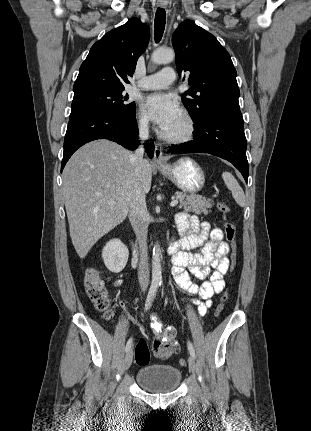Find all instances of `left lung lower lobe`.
Listing matches in <instances>:
<instances>
[{
    "label": "left lung lower lobe",
    "mask_w": 311,
    "mask_h": 431,
    "mask_svg": "<svg viewBox=\"0 0 311 431\" xmlns=\"http://www.w3.org/2000/svg\"><path fill=\"white\" fill-rule=\"evenodd\" d=\"M194 139L169 147L168 153H210L231 162L248 180L246 138L240 109H224L207 117L194 130Z\"/></svg>",
    "instance_id": "0a47b994"
}]
</instances>
